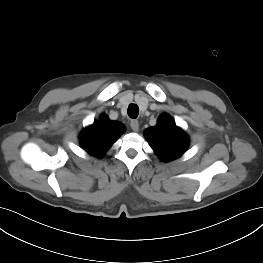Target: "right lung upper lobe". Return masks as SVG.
<instances>
[{"label":"right lung upper lobe","mask_w":263,"mask_h":263,"mask_svg":"<svg viewBox=\"0 0 263 263\" xmlns=\"http://www.w3.org/2000/svg\"><path fill=\"white\" fill-rule=\"evenodd\" d=\"M123 132L121 123L102 115L100 122L93 123L80 134V143L89 154L100 158Z\"/></svg>","instance_id":"cb5924a9"}]
</instances>
